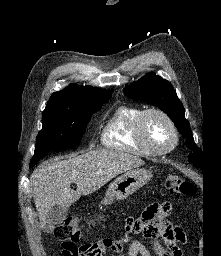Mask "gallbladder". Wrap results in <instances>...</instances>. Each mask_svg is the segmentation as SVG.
<instances>
[{
  "mask_svg": "<svg viewBox=\"0 0 221 256\" xmlns=\"http://www.w3.org/2000/svg\"><path fill=\"white\" fill-rule=\"evenodd\" d=\"M68 209L59 205L53 206L47 215V223L43 230L47 233L52 232L56 225L61 224L67 217Z\"/></svg>",
  "mask_w": 221,
  "mask_h": 256,
  "instance_id": "bac80fb5",
  "label": "gallbladder"
}]
</instances>
